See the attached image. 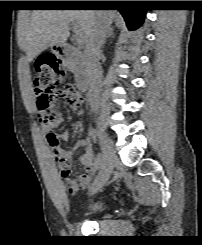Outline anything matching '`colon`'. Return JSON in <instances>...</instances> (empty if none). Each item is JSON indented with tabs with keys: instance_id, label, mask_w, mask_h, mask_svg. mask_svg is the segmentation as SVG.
<instances>
[{
	"instance_id": "obj_1",
	"label": "colon",
	"mask_w": 202,
	"mask_h": 245,
	"mask_svg": "<svg viewBox=\"0 0 202 245\" xmlns=\"http://www.w3.org/2000/svg\"><path fill=\"white\" fill-rule=\"evenodd\" d=\"M33 78L35 106L44 125L52 122L51 111L55 97L64 98L72 111L80 108V95L73 85L65 81L61 62L54 55L47 54L34 64ZM49 145L55 154L62 150L55 135L50 138Z\"/></svg>"
}]
</instances>
